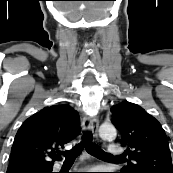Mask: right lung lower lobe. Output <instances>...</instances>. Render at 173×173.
<instances>
[{"instance_id":"1","label":"right lung lower lobe","mask_w":173,"mask_h":173,"mask_svg":"<svg viewBox=\"0 0 173 173\" xmlns=\"http://www.w3.org/2000/svg\"><path fill=\"white\" fill-rule=\"evenodd\" d=\"M9 173H53L52 165L45 167H30L10 171Z\"/></svg>"}]
</instances>
